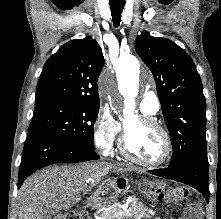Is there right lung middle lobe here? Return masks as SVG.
Wrapping results in <instances>:
<instances>
[{
	"label": "right lung middle lobe",
	"instance_id": "dd1d6c3e",
	"mask_svg": "<svg viewBox=\"0 0 221 219\" xmlns=\"http://www.w3.org/2000/svg\"><path fill=\"white\" fill-rule=\"evenodd\" d=\"M35 104L28 134L44 133L76 146L95 150L93 128L99 103L50 100Z\"/></svg>",
	"mask_w": 221,
	"mask_h": 219
}]
</instances>
